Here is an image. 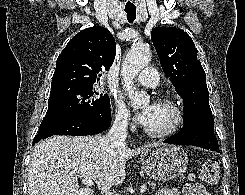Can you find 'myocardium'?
I'll list each match as a JSON object with an SVG mask.
<instances>
[{
	"mask_svg": "<svg viewBox=\"0 0 245 195\" xmlns=\"http://www.w3.org/2000/svg\"><path fill=\"white\" fill-rule=\"evenodd\" d=\"M157 103L172 108L176 115L174 123L166 130L152 131L144 127V131L149 137L161 139L175 134L183 127L185 123V113L182 106L172 98L162 97L157 100Z\"/></svg>",
	"mask_w": 245,
	"mask_h": 195,
	"instance_id": "myocardium-1",
	"label": "myocardium"
}]
</instances>
